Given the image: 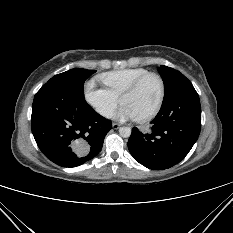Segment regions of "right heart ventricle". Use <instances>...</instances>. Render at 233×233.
Segmentation results:
<instances>
[{"label": "right heart ventricle", "instance_id": "right-heart-ventricle-1", "mask_svg": "<svg viewBox=\"0 0 233 233\" xmlns=\"http://www.w3.org/2000/svg\"><path fill=\"white\" fill-rule=\"evenodd\" d=\"M148 72L145 68H126L103 73L99 76V80L119 97L129 85Z\"/></svg>", "mask_w": 233, "mask_h": 233}]
</instances>
